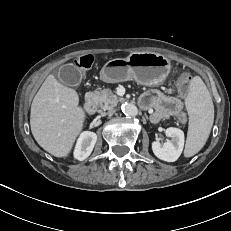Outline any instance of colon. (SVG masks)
Wrapping results in <instances>:
<instances>
[{"instance_id":"colon-1","label":"colon","mask_w":231,"mask_h":231,"mask_svg":"<svg viewBox=\"0 0 231 231\" xmlns=\"http://www.w3.org/2000/svg\"><path fill=\"white\" fill-rule=\"evenodd\" d=\"M94 58L92 55H84L75 60V64L80 69H89L93 64ZM192 81V74L189 72L182 73L178 81V91L182 95L189 92ZM186 115L183 113L179 116L180 122H186Z\"/></svg>"}]
</instances>
